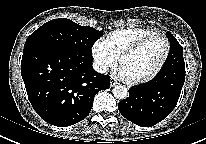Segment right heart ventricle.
Instances as JSON below:
<instances>
[{
    "label": "right heart ventricle",
    "mask_w": 206,
    "mask_h": 144,
    "mask_svg": "<svg viewBox=\"0 0 206 144\" xmlns=\"http://www.w3.org/2000/svg\"><path fill=\"white\" fill-rule=\"evenodd\" d=\"M155 32L148 28L130 27L111 32L105 39L110 50L118 58L123 50L136 41L154 34Z\"/></svg>",
    "instance_id": "e07e8e85"
}]
</instances>
